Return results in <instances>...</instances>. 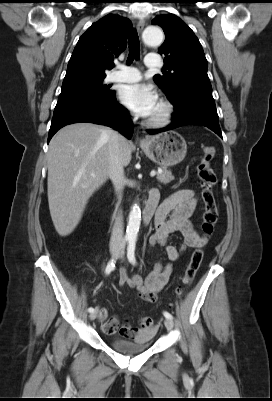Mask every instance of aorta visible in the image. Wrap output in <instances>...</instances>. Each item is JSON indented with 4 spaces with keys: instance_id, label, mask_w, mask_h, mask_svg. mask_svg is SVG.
I'll list each match as a JSON object with an SVG mask.
<instances>
[{
    "instance_id": "aorta-1",
    "label": "aorta",
    "mask_w": 272,
    "mask_h": 401,
    "mask_svg": "<svg viewBox=\"0 0 272 401\" xmlns=\"http://www.w3.org/2000/svg\"><path fill=\"white\" fill-rule=\"evenodd\" d=\"M143 40L147 45L157 46L163 42V32L157 26H149L143 32ZM141 224V211L137 204L131 207L128 216V224L126 230V238L129 241H136L139 227Z\"/></svg>"
}]
</instances>
